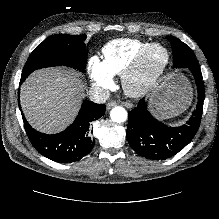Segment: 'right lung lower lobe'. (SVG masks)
<instances>
[{
  "label": "right lung lower lobe",
  "mask_w": 219,
  "mask_h": 219,
  "mask_svg": "<svg viewBox=\"0 0 219 219\" xmlns=\"http://www.w3.org/2000/svg\"><path fill=\"white\" fill-rule=\"evenodd\" d=\"M23 82L21 79L20 84ZM105 114V105L84 101L75 121L63 132L47 135L34 130L24 120L27 135L38 152L56 162H73L88 154L94 143L87 135L92 121Z\"/></svg>",
  "instance_id": "obj_1"
}]
</instances>
